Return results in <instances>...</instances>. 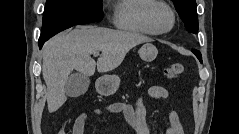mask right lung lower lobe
I'll use <instances>...</instances> for the list:
<instances>
[{"label":"right lung lower lobe","mask_w":239,"mask_h":134,"mask_svg":"<svg viewBox=\"0 0 239 134\" xmlns=\"http://www.w3.org/2000/svg\"><path fill=\"white\" fill-rule=\"evenodd\" d=\"M52 36L44 37V38H39V47L40 49L42 48L43 44Z\"/></svg>","instance_id":"1"}]
</instances>
